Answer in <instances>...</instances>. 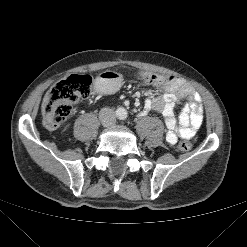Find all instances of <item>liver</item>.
Masks as SVG:
<instances>
[{
  "label": "liver",
  "instance_id": "liver-1",
  "mask_svg": "<svg viewBox=\"0 0 247 247\" xmlns=\"http://www.w3.org/2000/svg\"><path fill=\"white\" fill-rule=\"evenodd\" d=\"M49 99H50V95H46L44 98V106L48 103Z\"/></svg>",
  "mask_w": 247,
  "mask_h": 247
}]
</instances>
